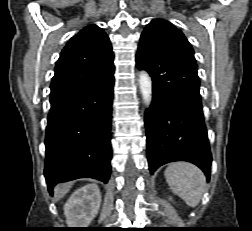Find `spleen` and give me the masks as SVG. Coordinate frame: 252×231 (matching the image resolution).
<instances>
[{
  "label": "spleen",
  "instance_id": "1",
  "mask_svg": "<svg viewBox=\"0 0 252 231\" xmlns=\"http://www.w3.org/2000/svg\"><path fill=\"white\" fill-rule=\"evenodd\" d=\"M165 178L170 189L187 205H198L205 191L206 178L197 166L187 162L172 163L165 170Z\"/></svg>",
  "mask_w": 252,
  "mask_h": 231
}]
</instances>
